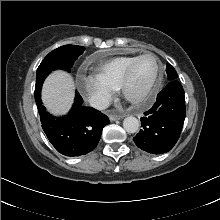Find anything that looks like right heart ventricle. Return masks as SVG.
<instances>
[{
	"mask_svg": "<svg viewBox=\"0 0 220 220\" xmlns=\"http://www.w3.org/2000/svg\"><path fill=\"white\" fill-rule=\"evenodd\" d=\"M136 55L118 56L95 66L96 74L115 89L120 87L123 75Z\"/></svg>",
	"mask_w": 220,
	"mask_h": 220,
	"instance_id": "1",
	"label": "right heart ventricle"
}]
</instances>
